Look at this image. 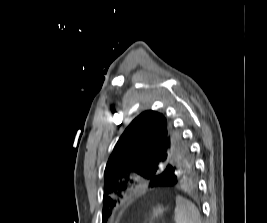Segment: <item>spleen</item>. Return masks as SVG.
<instances>
[{"label":"spleen","mask_w":267,"mask_h":223,"mask_svg":"<svg viewBox=\"0 0 267 223\" xmlns=\"http://www.w3.org/2000/svg\"><path fill=\"white\" fill-rule=\"evenodd\" d=\"M174 213L176 223H201L200 213L196 206L181 196L176 197Z\"/></svg>","instance_id":"spleen-1"}]
</instances>
